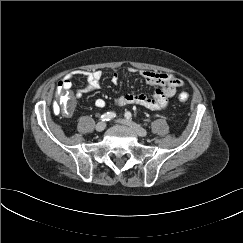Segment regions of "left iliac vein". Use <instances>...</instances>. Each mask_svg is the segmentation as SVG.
<instances>
[{
  "label": "left iliac vein",
  "mask_w": 243,
  "mask_h": 243,
  "mask_svg": "<svg viewBox=\"0 0 243 243\" xmlns=\"http://www.w3.org/2000/svg\"><path fill=\"white\" fill-rule=\"evenodd\" d=\"M117 122L128 125L140 137L147 136V131L145 129L141 128L136 123H134L130 120L119 119V120H117Z\"/></svg>",
  "instance_id": "1"
}]
</instances>
